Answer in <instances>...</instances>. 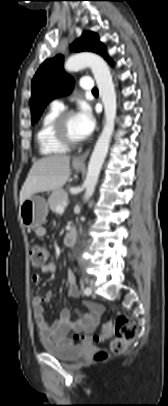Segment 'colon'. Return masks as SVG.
Returning a JSON list of instances; mask_svg holds the SVG:
<instances>
[{"instance_id":"5ec220e1","label":"colon","mask_w":168,"mask_h":406,"mask_svg":"<svg viewBox=\"0 0 168 406\" xmlns=\"http://www.w3.org/2000/svg\"><path fill=\"white\" fill-rule=\"evenodd\" d=\"M48 250L40 244H32L29 248V258L34 267H43L48 259ZM114 330V338L110 345V352L113 354L122 353L126 347L135 339L137 335L136 323L127 316H118L115 323L106 322L103 325L102 334L91 337L95 341H101L109 337ZM90 337L73 334L74 340L89 339ZM108 356L106 351H98L95 354L96 360H103Z\"/></svg>"}]
</instances>
